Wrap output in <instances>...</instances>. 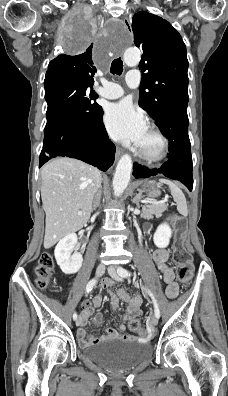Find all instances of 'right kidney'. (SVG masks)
<instances>
[{
  "mask_svg": "<svg viewBox=\"0 0 228 396\" xmlns=\"http://www.w3.org/2000/svg\"><path fill=\"white\" fill-rule=\"evenodd\" d=\"M77 240V235L72 233L61 239L55 247V259L60 269L65 274H74L82 266V255L80 253L72 254Z\"/></svg>",
  "mask_w": 228,
  "mask_h": 396,
  "instance_id": "obj_1",
  "label": "right kidney"
}]
</instances>
